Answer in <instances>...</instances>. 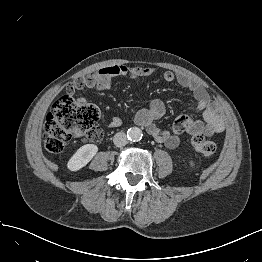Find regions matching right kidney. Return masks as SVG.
<instances>
[{
	"label": "right kidney",
	"mask_w": 262,
	"mask_h": 262,
	"mask_svg": "<svg viewBox=\"0 0 262 262\" xmlns=\"http://www.w3.org/2000/svg\"><path fill=\"white\" fill-rule=\"evenodd\" d=\"M98 147L94 144H86L80 147L76 153L69 159L67 168L70 171H78L86 166L96 155Z\"/></svg>",
	"instance_id": "right-kidney-1"
}]
</instances>
